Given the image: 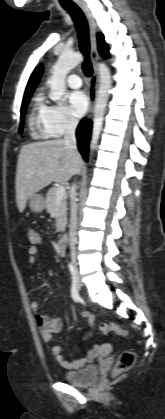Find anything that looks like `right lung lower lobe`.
<instances>
[{"instance_id": "right-lung-lower-lobe-1", "label": "right lung lower lobe", "mask_w": 165, "mask_h": 419, "mask_svg": "<svg viewBox=\"0 0 165 419\" xmlns=\"http://www.w3.org/2000/svg\"><path fill=\"white\" fill-rule=\"evenodd\" d=\"M91 128L92 122L82 119L76 131L78 148L85 161H87L88 158V145L90 141Z\"/></svg>"}]
</instances>
